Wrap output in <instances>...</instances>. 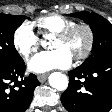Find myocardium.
I'll use <instances>...</instances> for the list:
<instances>
[{
    "label": "myocardium",
    "instance_id": "1",
    "mask_svg": "<svg viewBox=\"0 0 112 112\" xmlns=\"http://www.w3.org/2000/svg\"><path fill=\"white\" fill-rule=\"evenodd\" d=\"M77 30H84L86 35H87V44L84 48V50L79 53L77 56L74 57V60L77 62H80L84 59H86L94 46V41H95V35L92 27L87 24V23H75L72 26H69L62 31L58 32L55 34L56 38H59L61 40H66L68 39L72 34H74Z\"/></svg>",
    "mask_w": 112,
    "mask_h": 112
}]
</instances>
